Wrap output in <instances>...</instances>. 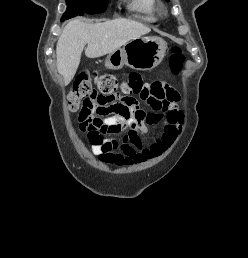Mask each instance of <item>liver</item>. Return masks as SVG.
<instances>
[{
	"label": "liver",
	"mask_w": 248,
	"mask_h": 258,
	"mask_svg": "<svg viewBox=\"0 0 248 258\" xmlns=\"http://www.w3.org/2000/svg\"><path fill=\"white\" fill-rule=\"evenodd\" d=\"M150 31L147 26L131 19L120 18L96 24L72 20L65 26L57 43V70L67 85L78 69L86 44L85 55L97 58L116 51Z\"/></svg>",
	"instance_id": "1"
}]
</instances>
